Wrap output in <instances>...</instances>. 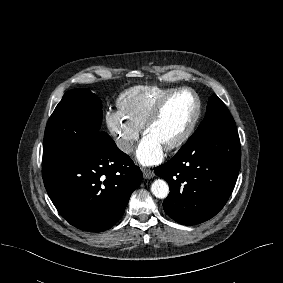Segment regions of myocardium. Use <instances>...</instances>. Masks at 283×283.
<instances>
[{"mask_svg":"<svg viewBox=\"0 0 283 283\" xmlns=\"http://www.w3.org/2000/svg\"><path fill=\"white\" fill-rule=\"evenodd\" d=\"M190 93L195 101L196 104V110L194 113L193 118L191 119L190 123L186 127V129L169 145L164 147L165 150L171 151L174 149H177L181 146H183L192 136L194 133L198 122L200 120L201 114H202V104L201 100L198 96V94L191 88L189 87H181V88H176L173 89L172 91L168 92L164 96H162L153 106L151 109L149 115L147 116L145 122L143 123L142 126V133L143 135H146L148 129L153 125V123L156 121V119L159 117L162 109L166 105V103L175 95L180 94V93Z\"/></svg>","mask_w":283,"mask_h":283,"instance_id":"myocardium-1","label":"myocardium"}]
</instances>
